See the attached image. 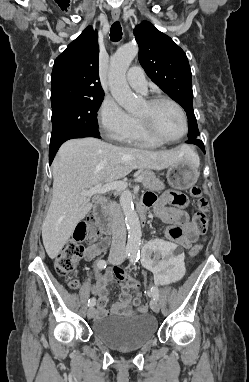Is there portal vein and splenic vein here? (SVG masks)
<instances>
[{
    "mask_svg": "<svg viewBox=\"0 0 249 382\" xmlns=\"http://www.w3.org/2000/svg\"><path fill=\"white\" fill-rule=\"evenodd\" d=\"M143 181V177L139 176L135 179V182L139 183ZM128 186V183L126 181H112L107 184H98L95 187H92L91 189L87 191H82V194L88 197H91L92 195L95 194H104L108 191H113V190H124Z\"/></svg>",
    "mask_w": 249,
    "mask_h": 382,
    "instance_id": "1",
    "label": "portal vein and splenic vein"
}]
</instances>
